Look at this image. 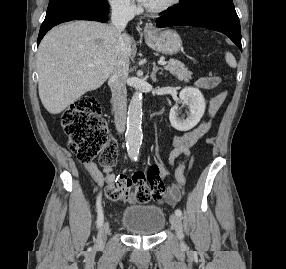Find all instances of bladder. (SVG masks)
<instances>
[{
    "instance_id": "1",
    "label": "bladder",
    "mask_w": 286,
    "mask_h": 269,
    "mask_svg": "<svg viewBox=\"0 0 286 269\" xmlns=\"http://www.w3.org/2000/svg\"><path fill=\"white\" fill-rule=\"evenodd\" d=\"M120 223L133 234L150 236L164 229L166 216L156 205L134 204L122 210Z\"/></svg>"
}]
</instances>
